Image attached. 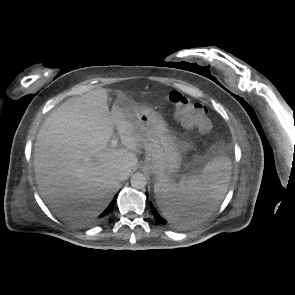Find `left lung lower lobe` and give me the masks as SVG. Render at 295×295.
Instances as JSON below:
<instances>
[{
	"label": "left lung lower lobe",
	"instance_id": "1",
	"mask_svg": "<svg viewBox=\"0 0 295 295\" xmlns=\"http://www.w3.org/2000/svg\"><path fill=\"white\" fill-rule=\"evenodd\" d=\"M152 213L154 215V217L156 218V220L162 224H166V221L158 214V212L156 211V209L154 208V206L152 204H150ZM190 213L192 215H198L200 214L195 208L191 209Z\"/></svg>",
	"mask_w": 295,
	"mask_h": 295
}]
</instances>
